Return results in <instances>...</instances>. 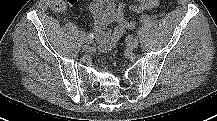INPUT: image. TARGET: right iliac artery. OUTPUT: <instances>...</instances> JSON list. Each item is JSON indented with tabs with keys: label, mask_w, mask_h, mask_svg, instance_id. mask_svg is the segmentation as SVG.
Segmentation results:
<instances>
[{
	"label": "right iliac artery",
	"mask_w": 217,
	"mask_h": 121,
	"mask_svg": "<svg viewBox=\"0 0 217 121\" xmlns=\"http://www.w3.org/2000/svg\"><path fill=\"white\" fill-rule=\"evenodd\" d=\"M80 39L85 43L90 42V38H88L84 33H80Z\"/></svg>",
	"instance_id": "1"
}]
</instances>
